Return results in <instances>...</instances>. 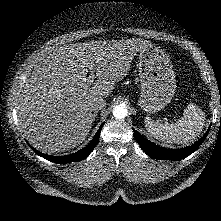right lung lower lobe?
<instances>
[{
	"mask_svg": "<svg viewBox=\"0 0 221 221\" xmlns=\"http://www.w3.org/2000/svg\"><path fill=\"white\" fill-rule=\"evenodd\" d=\"M102 126L103 124L100 126L98 132L95 134V136L93 137V139L91 140V142L86 146L84 147L83 149L75 152V153H72L70 155H65V156H51V155H46V154H43L39 151H37L36 149H34L32 147V149L36 152V154H38L39 156H42L44 157L45 159L51 161V162H55V163H58V164H66V163H70V162H76V161H81V160H84L92 151L93 149L95 148L98 140H99V137H100V131L102 129Z\"/></svg>",
	"mask_w": 221,
	"mask_h": 221,
	"instance_id": "98d812e1",
	"label": "right lung lower lobe"
}]
</instances>
